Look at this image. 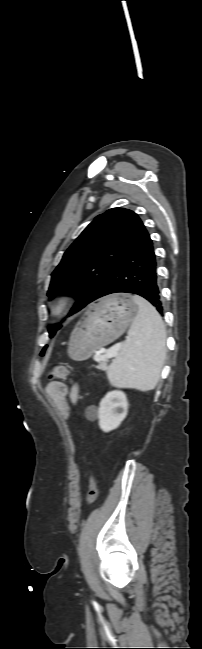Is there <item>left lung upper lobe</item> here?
Masks as SVG:
<instances>
[{"label":"left lung upper lobe","mask_w":202,"mask_h":649,"mask_svg":"<svg viewBox=\"0 0 202 649\" xmlns=\"http://www.w3.org/2000/svg\"><path fill=\"white\" fill-rule=\"evenodd\" d=\"M142 226L138 215L128 209L112 208L97 216L64 253L52 273L47 295L53 298L62 292L74 294L77 303L69 315L94 301ZM60 328V324L49 326V336Z\"/></svg>","instance_id":"obj_1"}]
</instances>
